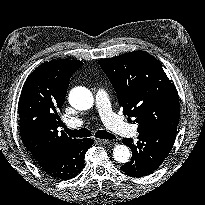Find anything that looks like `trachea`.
I'll use <instances>...</instances> for the list:
<instances>
[{"label": "trachea", "instance_id": "obj_1", "mask_svg": "<svg viewBox=\"0 0 205 205\" xmlns=\"http://www.w3.org/2000/svg\"><path fill=\"white\" fill-rule=\"evenodd\" d=\"M65 132L70 136V137H89L91 136V133L88 129L86 128H81L79 130H71L67 127H64ZM95 137L101 138V139H115V136L105 130H99L96 132Z\"/></svg>", "mask_w": 205, "mask_h": 205}]
</instances>
